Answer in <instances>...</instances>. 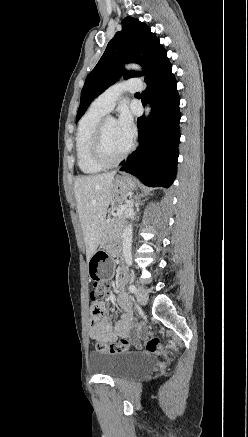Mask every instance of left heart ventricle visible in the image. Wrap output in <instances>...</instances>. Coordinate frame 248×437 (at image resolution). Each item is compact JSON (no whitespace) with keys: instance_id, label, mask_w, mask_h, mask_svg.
Returning <instances> with one entry per match:
<instances>
[{"instance_id":"left-heart-ventricle-1","label":"left heart ventricle","mask_w":248,"mask_h":437,"mask_svg":"<svg viewBox=\"0 0 248 437\" xmlns=\"http://www.w3.org/2000/svg\"><path fill=\"white\" fill-rule=\"evenodd\" d=\"M130 141L125 139L119 132L116 121L109 119L104 132V151L108 158L118 157L129 145Z\"/></svg>"}]
</instances>
